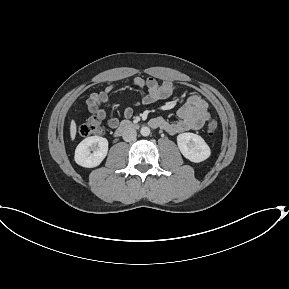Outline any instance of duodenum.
Masks as SVG:
<instances>
[{
	"label": "duodenum",
	"mask_w": 289,
	"mask_h": 289,
	"mask_svg": "<svg viewBox=\"0 0 289 289\" xmlns=\"http://www.w3.org/2000/svg\"><path fill=\"white\" fill-rule=\"evenodd\" d=\"M149 125L153 128H158V123L155 120H151ZM138 125L130 121H123L120 126L115 131V136H121L122 134L128 132L131 129L136 128Z\"/></svg>",
	"instance_id": "obj_1"
}]
</instances>
